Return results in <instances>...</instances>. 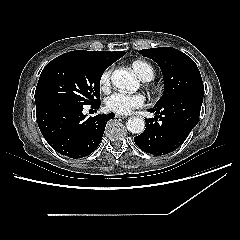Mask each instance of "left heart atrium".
I'll use <instances>...</instances> for the list:
<instances>
[{"instance_id":"39dd6f15","label":"left heart atrium","mask_w":240,"mask_h":240,"mask_svg":"<svg viewBox=\"0 0 240 240\" xmlns=\"http://www.w3.org/2000/svg\"><path fill=\"white\" fill-rule=\"evenodd\" d=\"M145 101V96L140 93L114 92L107 97L106 106L113 112L129 114L134 109L144 106Z\"/></svg>"}]
</instances>
